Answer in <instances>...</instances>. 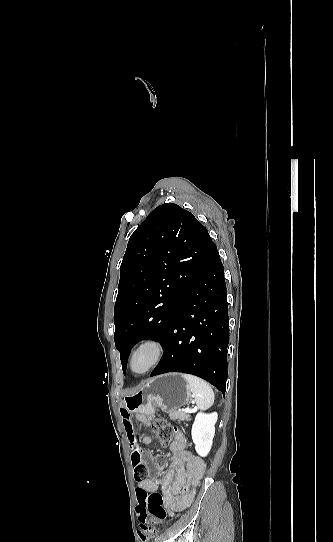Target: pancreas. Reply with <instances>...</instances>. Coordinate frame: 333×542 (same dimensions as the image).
<instances>
[{
  "instance_id": "cf45deb5",
  "label": "pancreas",
  "mask_w": 333,
  "mask_h": 542,
  "mask_svg": "<svg viewBox=\"0 0 333 542\" xmlns=\"http://www.w3.org/2000/svg\"><path fill=\"white\" fill-rule=\"evenodd\" d=\"M169 414L170 420H179V422H190L191 418L189 414H186V412H175V410H171V412H167Z\"/></svg>"
}]
</instances>
